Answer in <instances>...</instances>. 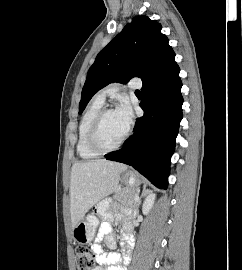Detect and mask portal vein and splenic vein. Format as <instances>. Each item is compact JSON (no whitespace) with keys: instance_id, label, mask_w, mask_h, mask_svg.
Masks as SVG:
<instances>
[{"instance_id":"portal-vein-and-splenic-vein-1","label":"portal vein and splenic vein","mask_w":242,"mask_h":270,"mask_svg":"<svg viewBox=\"0 0 242 270\" xmlns=\"http://www.w3.org/2000/svg\"><path fill=\"white\" fill-rule=\"evenodd\" d=\"M135 201H136V202L138 201V196H135Z\"/></svg>"}]
</instances>
